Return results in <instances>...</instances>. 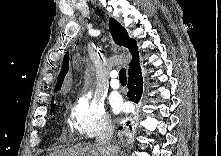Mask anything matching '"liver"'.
Wrapping results in <instances>:
<instances>
[{
    "mask_svg": "<svg viewBox=\"0 0 221 156\" xmlns=\"http://www.w3.org/2000/svg\"><path fill=\"white\" fill-rule=\"evenodd\" d=\"M114 154L117 156L118 149ZM50 156H112V153L107 152L95 143L80 144L59 151H54Z\"/></svg>",
    "mask_w": 221,
    "mask_h": 156,
    "instance_id": "liver-1",
    "label": "liver"
}]
</instances>
